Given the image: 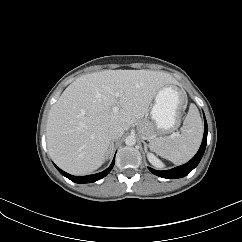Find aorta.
<instances>
[{
	"label": "aorta",
	"instance_id": "aorta-1",
	"mask_svg": "<svg viewBox=\"0 0 242 242\" xmlns=\"http://www.w3.org/2000/svg\"><path fill=\"white\" fill-rule=\"evenodd\" d=\"M125 144L127 146H133L136 144V139L134 136H127L125 139Z\"/></svg>",
	"mask_w": 242,
	"mask_h": 242
}]
</instances>
